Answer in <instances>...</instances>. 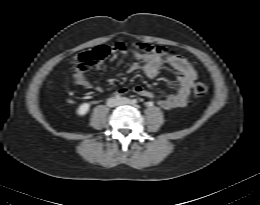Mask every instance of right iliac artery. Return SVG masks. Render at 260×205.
Returning <instances> with one entry per match:
<instances>
[{
    "label": "right iliac artery",
    "mask_w": 260,
    "mask_h": 205,
    "mask_svg": "<svg viewBox=\"0 0 260 205\" xmlns=\"http://www.w3.org/2000/svg\"><path fill=\"white\" fill-rule=\"evenodd\" d=\"M115 98L119 100L121 97L119 95H115Z\"/></svg>",
    "instance_id": "82829eb1"
}]
</instances>
